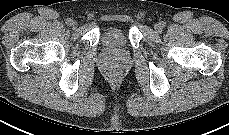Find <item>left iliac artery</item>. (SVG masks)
Returning <instances> with one entry per match:
<instances>
[{"instance_id":"1","label":"left iliac artery","mask_w":229,"mask_h":135,"mask_svg":"<svg viewBox=\"0 0 229 135\" xmlns=\"http://www.w3.org/2000/svg\"><path fill=\"white\" fill-rule=\"evenodd\" d=\"M160 24H161V27H165V22L162 21Z\"/></svg>"}]
</instances>
